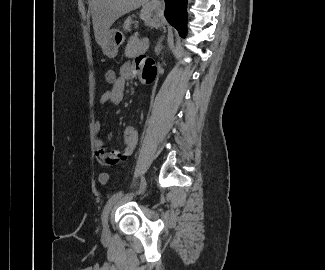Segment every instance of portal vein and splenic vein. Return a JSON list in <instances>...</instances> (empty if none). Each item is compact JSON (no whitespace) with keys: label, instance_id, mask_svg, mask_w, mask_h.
Here are the masks:
<instances>
[{"label":"portal vein and splenic vein","instance_id":"obj_1","mask_svg":"<svg viewBox=\"0 0 325 270\" xmlns=\"http://www.w3.org/2000/svg\"><path fill=\"white\" fill-rule=\"evenodd\" d=\"M144 42L148 44V39H144Z\"/></svg>","mask_w":325,"mask_h":270}]
</instances>
